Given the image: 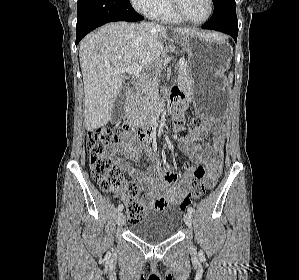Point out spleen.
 I'll return each mask as SVG.
<instances>
[{
  "mask_svg": "<svg viewBox=\"0 0 299 280\" xmlns=\"http://www.w3.org/2000/svg\"><path fill=\"white\" fill-rule=\"evenodd\" d=\"M229 81H230V83H232V81H233V73L231 72V73H229Z\"/></svg>",
  "mask_w": 299,
  "mask_h": 280,
  "instance_id": "3e777b00",
  "label": "spleen"
}]
</instances>
